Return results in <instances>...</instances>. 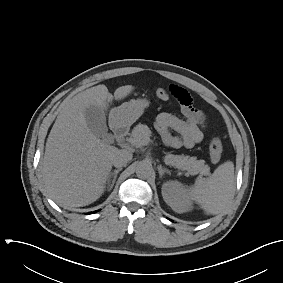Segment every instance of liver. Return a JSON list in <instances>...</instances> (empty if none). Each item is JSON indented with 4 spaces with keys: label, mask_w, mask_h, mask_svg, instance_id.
Returning <instances> with one entry per match:
<instances>
[{
    "label": "liver",
    "mask_w": 283,
    "mask_h": 283,
    "mask_svg": "<svg viewBox=\"0 0 283 283\" xmlns=\"http://www.w3.org/2000/svg\"><path fill=\"white\" fill-rule=\"evenodd\" d=\"M135 89L122 86L114 92L121 100ZM113 96L105 85H97L67 100L48 135L42 160L46 189L56 202L82 207L95 202L104 193L112 158L118 149L107 145L87 126L85 110L109 108ZM113 109L109 114L111 122Z\"/></svg>",
    "instance_id": "liver-1"
}]
</instances>
